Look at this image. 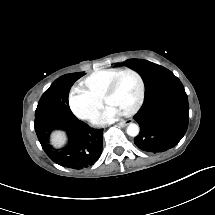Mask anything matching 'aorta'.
<instances>
[{
    "instance_id": "aorta-1",
    "label": "aorta",
    "mask_w": 215,
    "mask_h": 215,
    "mask_svg": "<svg viewBox=\"0 0 215 215\" xmlns=\"http://www.w3.org/2000/svg\"><path fill=\"white\" fill-rule=\"evenodd\" d=\"M127 134L129 136L135 137L139 134V127L138 125L131 123L127 127Z\"/></svg>"
}]
</instances>
